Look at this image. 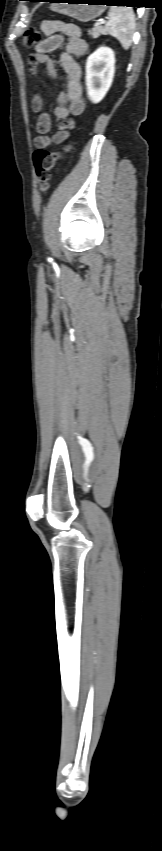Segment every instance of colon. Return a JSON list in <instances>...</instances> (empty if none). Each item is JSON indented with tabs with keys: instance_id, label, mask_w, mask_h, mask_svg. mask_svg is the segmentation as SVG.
Wrapping results in <instances>:
<instances>
[{
	"instance_id": "5ec220e1",
	"label": "colon",
	"mask_w": 162,
	"mask_h": 851,
	"mask_svg": "<svg viewBox=\"0 0 162 851\" xmlns=\"http://www.w3.org/2000/svg\"><path fill=\"white\" fill-rule=\"evenodd\" d=\"M43 40L42 33L36 28L28 29L23 37V46L31 48ZM71 150L68 144L61 152H50L44 148H38L33 154V163L37 175L38 185L41 192L45 193L49 188L51 171L56 163Z\"/></svg>"
}]
</instances>
